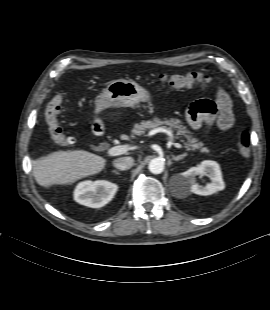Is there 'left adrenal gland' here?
Returning <instances> with one entry per match:
<instances>
[{
  "label": "left adrenal gland",
  "instance_id": "left-adrenal-gland-1",
  "mask_svg": "<svg viewBox=\"0 0 270 310\" xmlns=\"http://www.w3.org/2000/svg\"><path fill=\"white\" fill-rule=\"evenodd\" d=\"M185 156H187V153H184V154H181V155H178V156H172V159L175 160V161H180L182 160Z\"/></svg>",
  "mask_w": 270,
  "mask_h": 310
}]
</instances>
